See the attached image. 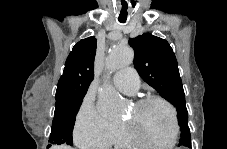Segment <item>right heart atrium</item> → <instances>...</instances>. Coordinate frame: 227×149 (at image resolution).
<instances>
[{"mask_svg":"<svg viewBox=\"0 0 227 149\" xmlns=\"http://www.w3.org/2000/svg\"><path fill=\"white\" fill-rule=\"evenodd\" d=\"M119 129L120 123L101 115L90 99L83 100L74 127L78 145L89 149L107 148L115 142Z\"/></svg>","mask_w":227,"mask_h":149,"instance_id":"obj_1","label":"right heart atrium"}]
</instances>
